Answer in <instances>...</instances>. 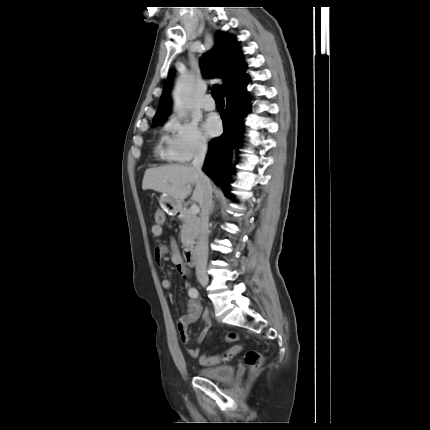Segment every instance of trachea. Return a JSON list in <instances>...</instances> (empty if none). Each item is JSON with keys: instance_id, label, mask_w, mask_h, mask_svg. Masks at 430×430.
Returning a JSON list of instances; mask_svg holds the SVG:
<instances>
[{"instance_id": "3493384b", "label": "trachea", "mask_w": 430, "mask_h": 430, "mask_svg": "<svg viewBox=\"0 0 430 430\" xmlns=\"http://www.w3.org/2000/svg\"><path fill=\"white\" fill-rule=\"evenodd\" d=\"M212 96H213V98H214L215 100H217V101H223V100H224V98H223V91H222V88H220L219 86L215 85V86L212 88Z\"/></svg>"}]
</instances>
